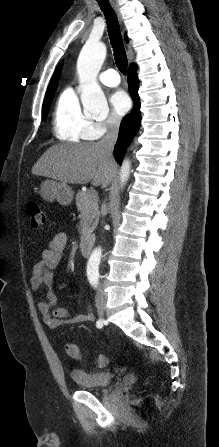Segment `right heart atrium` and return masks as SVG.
Instances as JSON below:
<instances>
[{
	"label": "right heart atrium",
	"instance_id": "1",
	"mask_svg": "<svg viewBox=\"0 0 219 447\" xmlns=\"http://www.w3.org/2000/svg\"><path fill=\"white\" fill-rule=\"evenodd\" d=\"M121 118L115 114L108 116L105 120L95 123V129L98 137L113 132L118 129Z\"/></svg>",
	"mask_w": 219,
	"mask_h": 447
}]
</instances>
